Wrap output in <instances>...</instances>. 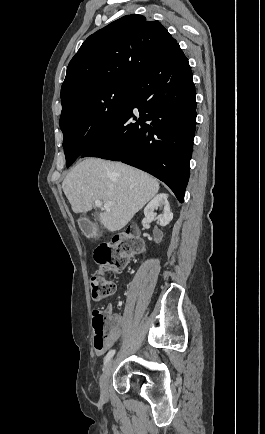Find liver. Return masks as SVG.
Returning a JSON list of instances; mask_svg holds the SVG:
<instances>
[{"mask_svg":"<svg viewBox=\"0 0 265 434\" xmlns=\"http://www.w3.org/2000/svg\"><path fill=\"white\" fill-rule=\"evenodd\" d=\"M75 214L92 210L95 200L115 202L99 220L110 232L122 230L133 216L159 192V184L149 174L99 158H84L62 184Z\"/></svg>","mask_w":265,"mask_h":434,"instance_id":"6515ba94","label":"liver"}]
</instances>
